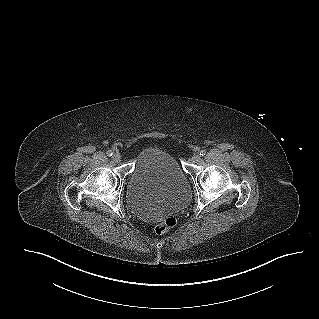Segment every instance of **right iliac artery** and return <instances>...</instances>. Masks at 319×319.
<instances>
[{
  "label": "right iliac artery",
  "instance_id": "82829eb1",
  "mask_svg": "<svg viewBox=\"0 0 319 319\" xmlns=\"http://www.w3.org/2000/svg\"><path fill=\"white\" fill-rule=\"evenodd\" d=\"M106 154L107 156L111 157L113 155V152L111 150H108Z\"/></svg>",
  "mask_w": 319,
  "mask_h": 319
}]
</instances>
